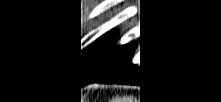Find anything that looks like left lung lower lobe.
<instances>
[{
    "instance_id": "left-lung-lower-lobe-1",
    "label": "left lung lower lobe",
    "mask_w": 221,
    "mask_h": 102,
    "mask_svg": "<svg viewBox=\"0 0 221 102\" xmlns=\"http://www.w3.org/2000/svg\"><path fill=\"white\" fill-rule=\"evenodd\" d=\"M108 45L85 73L77 78L78 87L92 82L141 85L144 66L136 62L135 45L121 44L111 49H108Z\"/></svg>"
}]
</instances>
